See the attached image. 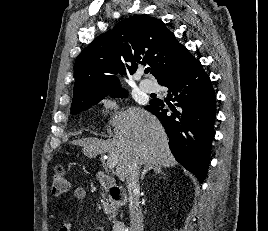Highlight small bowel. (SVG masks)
<instances>
[{
  "instance_id": "1",
  "label": "small bowel",
  "mask_w": 268,
  "mask_h": 231,
  "mask_svg": "<svg viewBox=\"0 0 268 231\" xmlns=\"http://www.w3.org/2000/svg\"><path fill=\"white\" fill-rule=\"evenodd\" d=\"M72 197L76 200H84L86 197V189L82 186H76L72 189ZM72 224L68 219H62L59 231H71Z\"/></svg>"
}]
</instances>
